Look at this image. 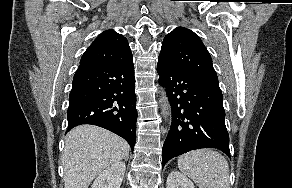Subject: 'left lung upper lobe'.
<instances>
[{
  "instance_id": "left-lung-upper-lobe-1",
  "label": "left lung upper lobe",
  "mask_w": 292,
  "mask_h": 188,
  "mask_svg": "<svg viewBox=\"0 0 292 188\" xmlns=\"http://www.w3.org/2000/svg\"><path fill=\"white\" fill-rule=\"evenodd\" d=\"M159 60L218 83L208 50L198 35L189 29L177 27L165 36Z\"/></svg>"
}]
</instances>
